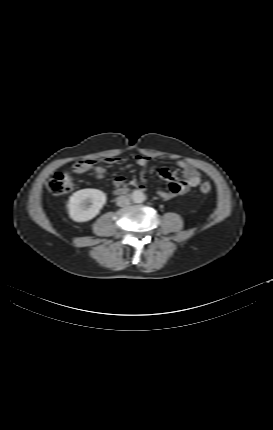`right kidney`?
Masks as SVG:
<instances>
[{
    "label": "right kidney",
    "mask_w": 273,
    "mask_h": 430,
    "mask_svg": "<svg viewBox=\"0 0 273 430\" xmlns=\"http://www.w3.org/2000/svg\"><path fill=\"white\" fill-rule=\"evenodd\" d=\"M105 203L104 192L92 188L79 190L69 198V216L75 222L89 221L99 214Z\"/></svg>",
    "instance_id": "obj_1"
}]
</instances>
